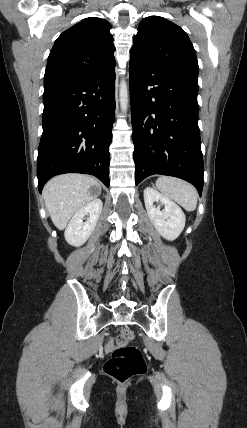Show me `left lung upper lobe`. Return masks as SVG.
I'll return each mask as SVG.
<instances>
[{
	"instance_id": "5c2ea615",
	"label": "left lung upper lobe",
	"mask_w": 247,
	"mask_h": 428,
	"mask_svg": "<svg viewBox=\"0 0 247 428\" xmlns=\"http://www.w3.org/2000/svg\"><path fill=\"white\" fill-rule=\"evenodd\" d=\"M130 56L150 62L163 72L198 86V62L186 32L159 16L144 18L133 39Z\"/></svg>"
}]
</instances>
